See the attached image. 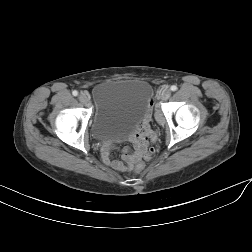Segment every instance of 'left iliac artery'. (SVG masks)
Instances as JSON below:
<instances>
[{"instance_id": "obj_1", "label": "left iliac artery", "mask_w": 252, "mask_h": 252, "mask_svg": "<svg viewBox=\"0 0 252 252\" xmlns=\"http://www.w3.org/2000/svg\"><path fill=\"white\" fill-rule=\"evenodd\" d=\"M178 88H177V86H175V85H172L171 87H170V90L171 91H176Z\"/></svg>"}]
</instances>
